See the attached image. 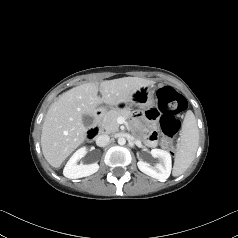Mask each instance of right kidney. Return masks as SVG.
I'll return each instance as SVG.
<instances>
[{
  "instance_id": "right-kidney-1",
  "label": "right kidney",
  "mask_w": 238,
  "mask_h": 238,
  "mask_svg": "<svg viewBox=\"0 0 238 238\" xmlns=\"http://www.w3.org/2000/svg\"><path fill=\"white\" fill-rule=\"evenodd\" d=\"M87 153L85 147L78 149L67 162L63 170V175L70 179L82 178L90 176L98 171L99 165L97 163L84 165L77 164Z\"/></svg>"
}]
</instances>
